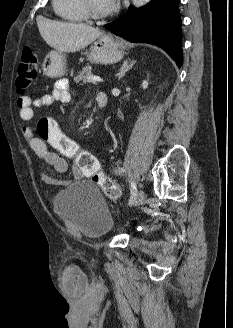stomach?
<instances>
[{"label": "stomach", "instance_id": "1", "mask_svg": "<svg viewBox=\"0 0 233 328\" xmlns=\"http://www.w3.org/2000/svg\"><path fill=\"white\" fill-rule=\"evenodd\" d=\"M124 42L111 34H103L94 42L87 57L90 61L103 64H113L123 58ZM65 55L58 51L49 52L42 64L43 74L47 77L57 78L65 74Z\"/></svg>", "mask_w": 233, "mask_h": 328}]
</instances>
